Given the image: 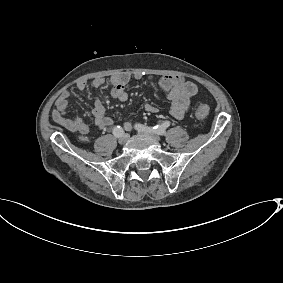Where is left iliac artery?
Listing matches in <instances>:
<instances>
[{"mask_svg": "<svg viewBox=\"0 0 283 283\" xmlns=\"http://www.w3.org/2000/svg\"><path fill=\"white\" fill-rule=\"evenodd\" d=\"M170 126L169 121H165L162 125H157L154 127H148L142 124H136L135 127L139 130L150 132V133H156L158 135H163L166 132V128Z\"/></svg>", "mask_w": 283, "mask_h": 283, "instance_id": "44dca946", "label": "left iliac artery"}]
</instances>
